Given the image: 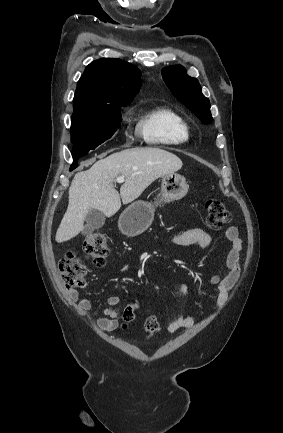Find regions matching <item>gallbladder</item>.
<instances>
[{"label":"gallbladder","instance_id":"obj_1","mask_svg":"<svg viewBox=\"0 0 283 433\" xmlns=\"http://www.w3.org/2000/svg\"><path fill=\"white\" fill-rule=\"evenodd\" d=\"M86 225L82 231L83 235H91L95 229H101L105 223V214L98 208H90L85 217Z\"/></svg>","mask_w":283,"mask_h":433}]
</instances>
